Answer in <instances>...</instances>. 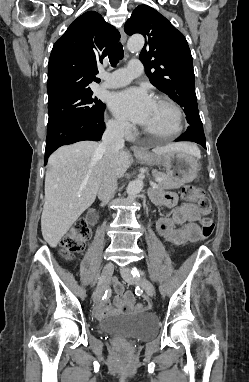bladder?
Instances as JSON below:
<instances>
[{
	"instance_id": "obj_1",
	"label": "bladder",
	"mask_w": 249,
	"mask_h": 382,
	"mask_svg": "<svg viewBox=\"0 0 249 382\" xmlns=\"http://www.w3.org/2000/svg\"><path fill=\"white\" fill-rule=\"evenodd\" d=\"M104 335H119L125 338L148 340L156 336L157 318L149 313L115 315L104 318L97 325Z\"/></svg>"
}]
</instances>
